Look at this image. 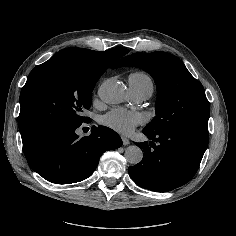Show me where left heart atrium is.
<instances>
[{
  "label": "left heart atrium",
  "instance_id": "1",
  "mask_svg": "<svg viewBox=\"0 0 236 236\" xmlns=\"http://www.w3.org/2000/svg\"><path fill=\"white\" fill-rule=\"evenodd\" d=\"M102 123L107 127L123 135H130L141 123L142 117L139 113L126 110L114 109L102 117Z\"/></svg>",
  "mask_w": 236,
  "mask_h": 236
}]
</instances>
